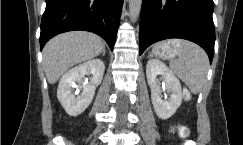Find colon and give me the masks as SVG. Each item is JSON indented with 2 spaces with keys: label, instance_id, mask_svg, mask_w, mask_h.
Here are the masks:
<instances>
[{
  "label": "colon",
  "instance_id": "obj_1",
  "mask_svg": "<svg viewBox=\"0 0 243 145\" xmlns=\"http://www.w3.org/2000/svg\"><path fill=\"white\" fill-rule=\"evenodd\" d=\"M189 97H190L189 92H185V98H186V99H189ZM180 132H181L182 135H186V134H187V130H186L185 128H182V129L180 130Z\"/></svg>",
  "mask_w": 243,
  "mask_h": 145
}]
</instances>
